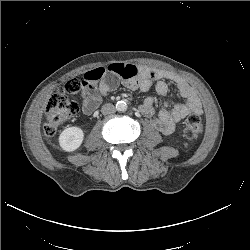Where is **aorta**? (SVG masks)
<instances>
[{"label":"aorta","instance_id":"aorta-1","mask_svg":"<svg viewBox=\"0 0 250 250\" xmlns=\"http://www.w3.org/2000/svg\"><path fill=\"white\" fill-rule=\"evenodd\" d=\"M128 108L127 103L125 101H118L116 103V110L120 112L126 111Z\"/></svg>","mask_w":250,"mask_h":250}]
</instances>
